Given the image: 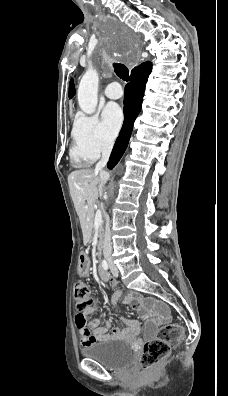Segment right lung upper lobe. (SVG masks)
I'll list each match as a JSON object with an SVG mask.
<instances>
[{
    "mask_svg": "<svg viewBox=\"0 0 228 396\" xmlns=\"http://www.w3.org/2000/svg\"><path fill=\"white\" fill-rule=\"evenodd\" d=\"M74 94H75V87L73 81L71 80L69 86V98H72Z\"/></svg>",
    "mask_w": 228,
    "mask_h": 396,
    "instance_id": "cb5924a9",
    "label": "right lung upper lobe"
}]
</instances>
